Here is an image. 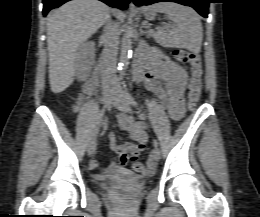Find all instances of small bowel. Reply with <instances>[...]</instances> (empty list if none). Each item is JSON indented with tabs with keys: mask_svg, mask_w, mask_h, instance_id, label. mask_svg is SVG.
I'll use <instances>...</instances> for the list:
<instances>
[{
	"mask_svg": "<svg viewBox=\"0 0 260 217\" xmlns=\"http://www.w3.org/2000/svg\"><path fill=\"white\" fill-rule=\"evenodd\" d=\"M138 67L145 69V73L138 79L141 81V84L160 101L172 119L179 120L183 115L182 97L188 78L187 71L183 67L167 60L157 50H153L144 56L140 60ZM82 101L83 96L79 98L74 107L76 111L79 110ZM144 119V115L140 116L139 121H134L123 113L119 114V125L122 130L128 132L133 142L119 145L116 143L115 135L110 133V148L118 157L109 166L104 168L102 172L97 173V178L102 179L106 176L116 174L125 168L129 160L135 161L137 159L138 154L144 150L148 141L144 130ZM90 168L93 171L99 170L96 160L90 163Z\"/></svg>",
	"mask_w": 260,
	"mask_h": 217,
	"instance_id": "small-bowel-1",
	"label": "small bowel"
}]
</instances>
